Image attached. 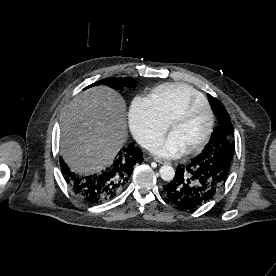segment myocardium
I'll list each match as a JSON object with an SVG mask.
<instances>
[{"label":"myocardium","mask_w":276,"mask_h":276,"mask_svg":"<svg viewBox=\"0 0 276 276\" xmlns=\"http://www.w3.org/2000/svg\"><path fill=\"white\" fill-rule=\"evenodd\" d=\"M200 105L203 106L208 112V126L204 136L197 143L187 148V152L189 153L201 150L211 138L215 122V115L211 105L208 103L207 100H192L182 110L175 114L169 122L170 128L173 129L176 123L190 116L191 113L195 110V108H197Z\"/></svg>","instance_id":"f54148a6"}]
</instances>
